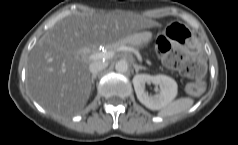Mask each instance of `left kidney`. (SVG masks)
Instances as JSON below:
<instances>
[{
  "label": "left kidney",
  "instance_id": "obj_1",
  "mask_svg": "<svg viewBox=\"0 0 238 145\" xmlns=\"http://www.w3.org/2000/svg\"><path fill=\"white\" fill-rule=\"evenodd\" d=\"M146 83L159 85V92L155 95H149L148 92L145 91ZM133 85L138 100L151 110L163 108L177 95L176 81L166 75L151 76L148 74H137L133 78Z\"/></svg>",
  "mask_w": 238,
  "mask_h": 145
}]
</instances>
